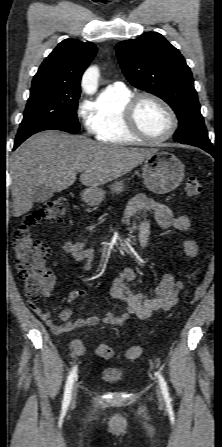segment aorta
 I'll use <instances>...</instances> for the list:
<instances>
[{
    "label": "aorta",
    "instance_id": "obj_1",
    "mask_svg": "<svg viewBox=\"0 0 222 447\" xmlns=\"http://www.w3.org/2000/svg\"><path fill=\"white\" fill-rule=\"evenodd\" d=\"M99 78L98 68L92 66L87 69L82 79V86L87 93L95 92Z\"/></svg>",
    "mask_w": 222,
    "mask_h": 447
}]
</instances>
